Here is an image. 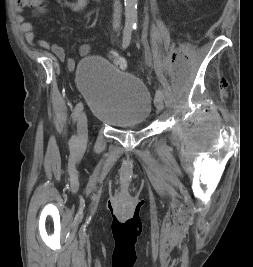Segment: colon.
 Here are the masks:
<instances>
[{
    "label": "colon",
    "instance_id": "colon-1",
    "mask_svg": "<svg viewBox=\"0 0 253 267\" xmlns=\"http://www.w3.org/2000/svg\"><path fill=\"white\" fill-rule=\"evenodd\" d=\"M41 2L42 0H15V4L18 7H36L40 5ZM112 57L117 68L121 70H125L127 68V61L125 58L116 54H112Z\"/></svg>",
    "mask_w": 253,
    "mask_h": 267
}]
</instances>
